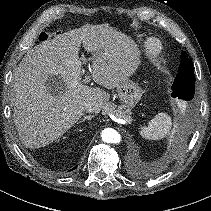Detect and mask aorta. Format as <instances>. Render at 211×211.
I'll use <instances>...</instances> for the list:
<instances>
[{"label": "aorta", "mask_w": 211, "mask_h": 211, "mask_svg": "<svg viewBox=\"0 0 211 211\" xmlns=\"http://www.w3.org/2000/svg\"><path fill=\"white\" fill-rule=\"evenodd\" d=\"M102 140L106 143L118 144L121 141L120 134L113 128H106L101 133Z\"/></svg>", "instance_id": "aorta-1"}]
</instances>
